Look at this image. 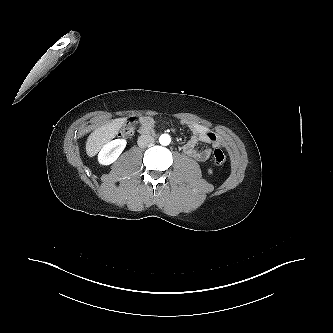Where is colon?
I'll list each match as a JSON object with an SVG mask.
<instances>
[{
	"label": "colon",
	"instance_id": "colon-1",
	"mask_svg": "<svg viewBox=\"0 0 333 333\" xmlns=\"http://www.w3.org/2000/svg\"><path fill=\"white\" fill-rule=\"evenodd\" d=\"M137 121L134 118L129 119L122 129L119 135L122 137H127L135 132ZM213 161L216 165H223L226 161V156L220 148H216L213 153Z\"/></svg>",
	"mask_w": 333,
	"mask_h": 333
}]
</instances>
